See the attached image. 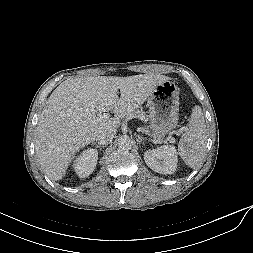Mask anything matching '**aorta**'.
Masks as SVG:
<instances>
[{
  "instance_id": "obj_1",
  "label": "aorta",
  "mask_w": 253,
  "mask_h": 253,
  "mask_svg": "<svg viewBox=\"0 0 253 253\" xmlns=\"http://www.w3.org/2000/svg\"><path fill=\"white\" fill-rule=\"evenodd\" d=\"M133 141L128 136H123L118 140V147L123 150H129L132 148Z\"/></svg>"
}]
</instances>
